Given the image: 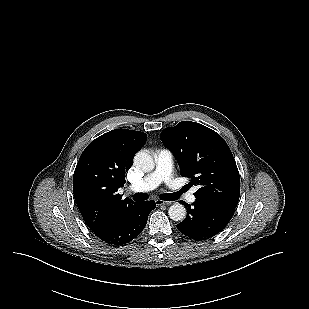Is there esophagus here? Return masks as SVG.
Masks as SVG:
<instances>
[{"mask_svg":"<svg viewBox=\"0 0 309 309\" xmlns=\"http://www.w3.org/2000/svg\"><path fill=\"white\" fill-rule=\"evenodd\" d=\"M156 205L159 207V206H169L172 204V202H169V201H162V200H159L157 199L155 201Z\"/></svg>","mask_w":309,"mask_h":309,"instance_id":"34e87169","label":"esophagus"}]
</instances>
